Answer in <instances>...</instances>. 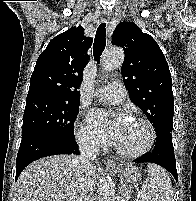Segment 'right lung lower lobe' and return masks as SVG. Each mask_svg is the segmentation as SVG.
Segmentation results:
<instances>
[{
    "label": "right lung lower lobe",
    "mask_w": 196,
    "mask_h": 201,
    "mask_svg": "<svg viewBox=\"0 0 196 201\" xmlns=\"http://www.w3.org/2000/svg\"><path fill=\"white\" fill-rule=\"evenodd\" d=\"M54 154H80L75 137L34 133L22 137L16 159V180L31 162Z\"/></svg>",
    "instance_id": "obj_1"
}]
</instances>
